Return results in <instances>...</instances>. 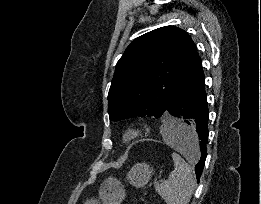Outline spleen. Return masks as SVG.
Listing matches in <instances>:
<instances>
[{"instance_id":"3e777b00","label":"spleen","mask_w":261,"mask_h":204,"mask_svg":"<svg viewBox=\"0 0 261 204\" xmlns=\"http://www.w3.org/2000/svg\"><path fill=\"white\" fill-rule=\"evenodd\" d=\"M186 126L180 120L170 118L162 129V136L166 144L179 150H186L178 141L175 135V128ZM195 136V134L193 133ZM195 155L199 157L198 143L195 142ZM174 170L171 172L167 181L161 183L157 188L158 194L167 204H188L194 191L195 180L191 167L182 159V157L173 153Z\"/></svg>"}]
</instances>
